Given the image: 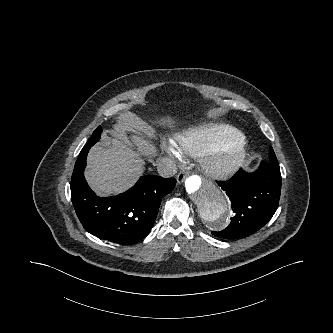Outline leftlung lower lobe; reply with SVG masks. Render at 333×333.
<instances>
[{
	"instance_id": "1",
	"label": "left lung lower lobe",
	"mask_w": 333,
	"mask_h": 333,
	"mask_svg": "<svg viewBox=\"0 0 333 333\" xmlns=\"http://www.w3.org/2000/svg\"><path fill=\"white\" fill-rule=\"evenodd\" d=\"M217 184L230 198L235 213L226 229L212 231L217 237L249 236L262 228L278 208L281 191L279 165L262 161L255 172L246 173L240 169L231 179Z\"/></svg>"
}]
</instances>
